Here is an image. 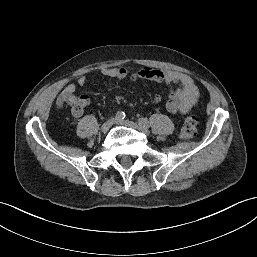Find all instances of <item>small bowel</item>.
I'll return each instance as SVG.
<instances>
[{
    "label": "small bowel",
    "instance_id": "1",
    "mask_svg": "<svg viewBox=\"0 0 257 257\" xmlns=\"http://www.w3.org/2000/svg\"><path fill=\"white\" fill-rule=\"evenodd\" d=\"M99 74L116 80L130 79L136 81L139 79L150 80L161 83L169 94L166 101L167 111L173 115H186L200 98V91L195 81L189 75L172 70H160L152 67H142L136 72H132L125 67L121 68H102ZM88 76L80 75L75 83H70L62 90V97H70L74 103L71 113L74 117H80L83 114L84 108L89 104V96L81 94L75 96L74 93L77 87H83L87 83ZM176 85L177 88L173 89ZM161 96L156 95L153 98L154 103H159Z\"/></svg>",
    "mask_w": 257,
    "mask_h": 257
}]
</instances>
